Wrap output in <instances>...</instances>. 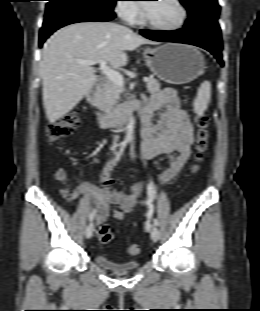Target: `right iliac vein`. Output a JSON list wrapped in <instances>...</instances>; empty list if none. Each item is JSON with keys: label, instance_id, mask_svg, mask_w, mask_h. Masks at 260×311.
Returning <instances> with one entry per match:
<instances>
[{"label": "right iliac vein", "instance_id": "obj_1", "mask_svg": "<svg viewBox=\"0 0 260 311\" xmlns=\"http://www.w3.org/2000/svg\"><path fill=\"white\" fill-rule=\"evenodd\" d=\"M93 231H94V225L93 223H90L87 227H86V230H85V236L86 238H91L92 235H93Z\"/></svg>", "mask_w": 260, "mask_h": 311}]
</instances>
